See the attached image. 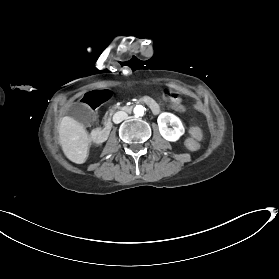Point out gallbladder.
<instances>
[{"mask_svg":"<svg viewBox=\"0 0 279 279\" xmlns=\"http://www.w3.org/2000/svg\"><path fill=\"white\" fill-rule=\"evenodd\" d=\"M60 113L64 117L72 115V118L81 125L93 124L95 122V115L93 113H89L87 108L81 106L79 102H72L70 107H62Z\"/></svg>","mask_w":279,"mask_h":279,"instance_id":"1","label":"gallbladder"}]
</instances>
